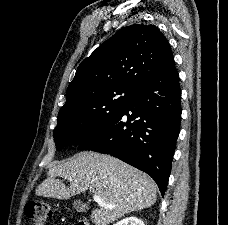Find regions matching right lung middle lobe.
<instances>
[{"mask_svg":"<svg viewBox=\"0 0 228 225\" xmlns=\"http://www.w3.org/2000/svg\"><path fill=\"white\" fill-rule=\"evenodd\" d=\"M134 88L111 85L89 92L65 104L58 114L54 141L58 150L78 144L114 117Z\"/></svg>","mask_w":228,"mask_h":225,"instance_id":"1","label":"right lung middle lobe"}]
</instances>
